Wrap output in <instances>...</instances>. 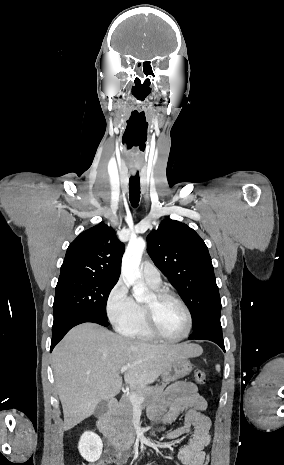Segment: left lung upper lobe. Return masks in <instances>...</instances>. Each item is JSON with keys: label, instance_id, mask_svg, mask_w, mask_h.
<instances>
[{"label": "left lung upper lobe", "instance_id": "obj_1", "mask_svg": "<svg viewBox=\"0 0 284 465\" xmlns=\"http://www.w3.org/2000/svg\"><path fill=\"white\" fill-rule=\"evenodd\" d=\"M148 253L186 302L193 330L220 319L221 299L208 248L186 224L166 219L147 237Z\"/></svg>", "mask_w": 284, "mask_h": 465}]
</instances>
